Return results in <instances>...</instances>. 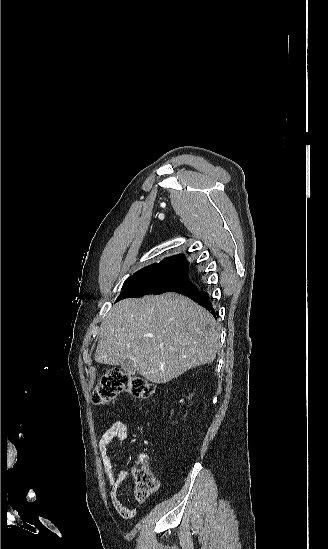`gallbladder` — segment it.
Listing matches in <instances>:
<instances>
[{
  "label": "gallbladder",
  "instance_id": "bac80fb5",
  "mask_svg": "<svg viewBox=\"0 0 328 549\" xmlns=\"http://www.w3.org/2000/svg\"><path fill=\"white\" fill-rule=\"evenodd\" d=\"M121 367L123 371H126L127 375H135L136 373L134 361H132V359H125V361L121 363Z\"/></svg>",
  "mask_w": 328,
  "mask_h": 549
}]
</instances>
